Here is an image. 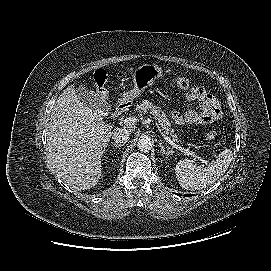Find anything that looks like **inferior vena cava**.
<instances>
[{
	"instance_id": "obj_1",
	"label": "inferior vena cava",
	"mask_w": 271,
	"mask_h": 271,
	"mask_svg": "<svg viewBox=\"0 0 271 271\" xmlns=\"http://www.w3.org/2000/svg\"><path fill=\"white\" fill-rule=\"evenodd\" d=\"M130 138V133L125 128H116L112 132V139L115 143L125 144Z\"/></svg>"
}]
</instances>
